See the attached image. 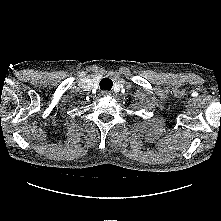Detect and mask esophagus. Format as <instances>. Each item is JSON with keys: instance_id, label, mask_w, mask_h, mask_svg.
Returning a JSON list of instances; mask_svg holds the SVG:
<instances>
[{"instance_id": "34e87169", "label": "esophagus", "mask_w": 221, "mask_h": 221, "mask_svg": "<svg viewBox=\"0 0 221 221\" xmlns=\"http://www.w3.org/2000/svg\"><path fill=\"white\" fill-rule=\"evenodd\" d=\"M101 93H102L103 96H109L110 95V93L108 91H102Z\"/></svg>"}]
</instances>
